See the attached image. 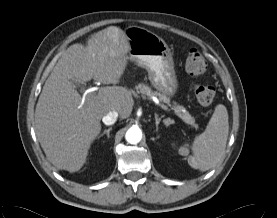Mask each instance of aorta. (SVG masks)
<instances>
[{
  "label": "aorta",
  "instance_id": "762f6f07",
  "mask_svg": "<svg viewBox=\"0 0 277 218\" xmlns=\"http://www.w3.org/2000/svg\"><path fill=\"white\" fill-rule=\"evenodd\" d=\"M125 138L130 144H137L142 139V131L139 127L133 126L127 130Z\"/></svg>",
  "mask_w": 277,
  "mask_h": 218
}]
</instances>
